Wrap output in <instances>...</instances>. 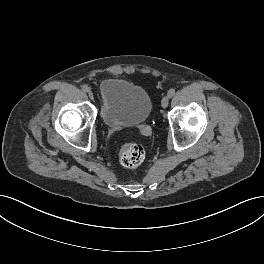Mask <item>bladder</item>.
<instances>
[{"instance_id":"obj_1","label":"bladder","mask_w":264,"mask_h":264,"mask_svg":"<svg viewBox=\"0 0 264 264\" xmlns=\"http://www.w3.org/2000/svg\"><path fill=\"white\" fill-rule=\"evenodd\" d=\"M101 118L109 128L144 123L152 109L148 92L133 82L109 78L100 84Z\"/></svg>"}]
</instances>
